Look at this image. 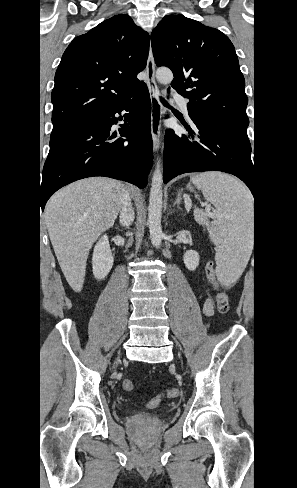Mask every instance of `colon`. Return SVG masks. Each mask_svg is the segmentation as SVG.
Listing matches in <instances>:
<instances>
[{
	"label": "colon",
	"mask_w": 297,
	"mask_h": 488,
	"mask_svg": "<svg viewBox=\"0 0 297 488\" xmlns=\"http://www.w3.org/2000/svg\"><path fill=\"white\" fill-rule=\"evenodd\" d=\"M215 272H216V268H215L214 262L213 261H207L205 264V274H206V277L212 282V284L216 290L215 299H216L217 307H218L219 311L226 312L229 308L228 295L220 290V287H219V285L216 281V278H215ZM123 388L125 391L131 392L134 389V384L130 380H125L123 383ZM178 395H179V389L178 388H176V387L169 388L166 390L164 395L157 396V397L153 398L152 400H150L147 404V407L150 409L158 407L162 401L163 396H166L168 398H174V397H177Z\"/></svg>",
	"instance_id": "colon-1"
}]
</instances>
